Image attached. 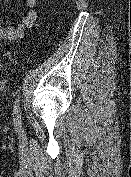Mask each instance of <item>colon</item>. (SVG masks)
<instances>
[{
  "instance_id": "5ec220e1",
  "label": "colon",
  "mask_w": 131,
  "mask_h": 177,
  "mask_svg": "<svg viewBox=\"0 0 131 177\" xmlns=\"http://www.w3.org/2000/svg\"><path fill=\"white\" fill-rule=\"evenodd\" d=\"M5 69H6V63H5V62H2V61L0 60V72H3Z\"/></svg>"
}]
</instances>
